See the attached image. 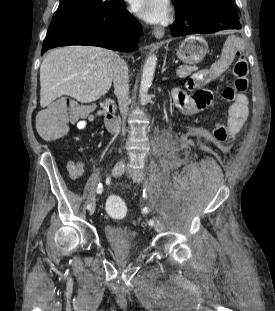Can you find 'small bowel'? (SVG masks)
<instances>
[{"instance_id":"c3829d8e","label":"small bowel","mask_w":275,"mask_h":311,"mask_svg":"<svg viewBox=\"0 0 275 311\" xmlns=\"http://www.w3.org/2000/svg\"><path fill=\"white\" fill-rule=\"evenodd\" d=\"M226 45L228 46H226L221 59L212 60L210 69H199L198 73H192V80L187 82V92L191 93L190 97L181 88H175L171 91L172 98L184 113L193 114L204 108H210V103H213L212 91L209 88L210 82L222 80L223 72H228V67L234 66V57H247V50L243 49L239 39L228 38ZM230 102L229 122H221V115L215 113L209 117L214 131L211 133L212 143H229L230 139L235 138V133L243 132V123L248 115V98L244 93L239 92ZM102 115L101 110L87 114L76 122L77 129L85 130L89 123L95 122ZM65 165L70 168L68 173L71 179L81 180V171L84 170L83 164H76L75 160H66Z\"/></svg>"}]
</instances>
